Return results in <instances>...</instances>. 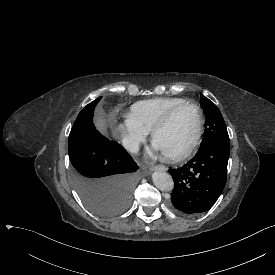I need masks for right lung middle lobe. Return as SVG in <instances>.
<instances>
[{"instance_id": "right-lung-middle-lobe-1", "label": "right lung middle lobe", "mask_w": 275, "mask_h": 275, "mask_svg": "<svg viewBox=\"0 0 275 275\" xmlns=\"http://www.w3.org/2000/svg\"><path fill=\"white\" fill-rule=\"evenodd\" d=\"M97 98L77 116L68 140L74 187L95 214L115 216L128 208L142 176L138 165L117 142L102 136L93 124Z\"/></svg>"}]
</instances>
